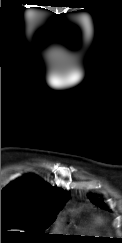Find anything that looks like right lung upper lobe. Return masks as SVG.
Returning a JSON list of instances; mask_svg holds the SVG:
<instances>
[{"instance_id": "1", "label": "right lung upper lobe", "mask_w": 122, "mask_h": 243, "mask_svg": "<svg viewBox=\"0 0 122 243\" xmlns=\"http://www.w3.org/2000/svg\"><path fill=\"white\" fill-rule=\"evenodd\" d=\"M70 193L45 185L33 175L11 182L1 191V199H17L40 207H62Z\"/></svg>"}]
</instances>
